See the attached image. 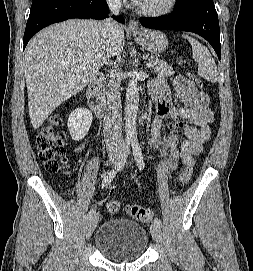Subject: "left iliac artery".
I'll use <instances>...</instances> for the list:
<instances>
[{"instance_id": "44dca946", "label": "left iliac artery", "mask_w": 253, "mask_h": 271, "mask_svg": "<svg viewBox=\"0 0 253 271\" xmlns=\"http://www.w3.org/2000/svg\"><path fill=\"white\" fill-rule=\"evenodd\" d=\"M132 149H133V155L135 158V161L137 163V166L139 167L140 170L144 169L145 163L143 160V154H142V149L140 146V143L137 140H132ZM154 224L157 226H161V221L158 218L154 219Z\"/></svg>"}]
</instances>
